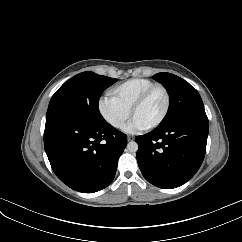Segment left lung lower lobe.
Returning a JSON list of instances; mask_svg holds the SVG:
<instances>
[{"label":"left lung lower lobe","instance_id":"left-lung-lower-lobe-1","mask_svg":"<svg viewBox=\"0 0 242 242\" xmlns=\"http://www.w3.org/2000/svg\"><path fill=\"white\" fill-rule=\"evenodd\" d=\"M208 127L206 113L198 112L136 137L137 161L144 178L164 189L186 183L203 162Z\"/></svg>","mask_w":242,"mask_h":242}]
</instances>
